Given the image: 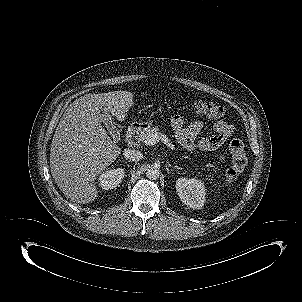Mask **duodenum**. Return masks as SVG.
<instances>
[{
    "mask_svg": "<svg viewBox=\"0 0 302 302\" xmlns=\"http://www.w3.org/2000/svg\"><path fill=\"white\" fill-rule=\"evenodd\" d=\"M141 129H142V125L140 123L131 124L126 132V141L132 140L134 135L140 132Z\"/></svg>",
    "mask_w": 302,
    "mask_h": 302,
    "instance_id": "obj_1",
    "label": "duodenum"
}]
</instances>
